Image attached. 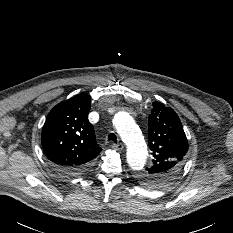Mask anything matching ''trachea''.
I'll return each instance as SVG.
<instances>
[{
	"label": "trachea",
	"mask_w": 233,
	"mask_h": 233,
	"mask_svg": "<svg viewBox=\"0 0 233 233\" xmlns=\"http://www.w3.org/2000/svg\"><path fill=\"white\" fill-rule=\"evenodd\" d=\"M108 140L109 141H113V142H117V137H116V135L114 134V133H111V134H109V136H108Z\"/></svg>",
	"instance_id": "trachea-1"
}]
</instances>
